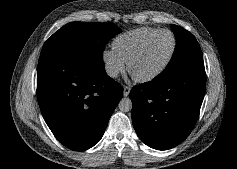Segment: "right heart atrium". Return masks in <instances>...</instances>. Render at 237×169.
Listing matches in <instances>:
<instances>
[{
    "label": "right heart atrium",
    "instance_id": "d8ad5b80",
    "mask_svg": "<svg viewBox=\"0 0 237 169\" xmlns=\"http://www.w3.org/2000/svg\"><path fill=\"white\" fill-rule=\"evenodd\" d=\"M102 60L107 74L111 77H117L125 70L124 60L113 49H105L102 52Z\"/></svg>",
    "mask_w": 237,
    "mask_h": 169
}]
</instances>
